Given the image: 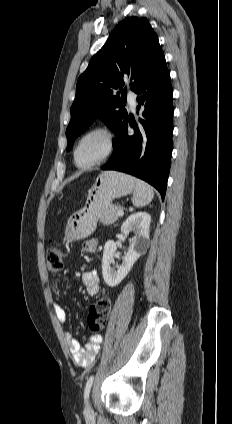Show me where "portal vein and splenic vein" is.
<instances>
[{
    "instance_id": "obj_1",
    "label": "portal vein and splenic vein",
    "mask_w": 232,
    "mask_h": 424,
    "mask_svg": "<svg viewBox=\"0 0 232 424\" xmlns=\"http://www.w3.org/2000/svg\"><path fill=\"white\" fill-rule=\"evenodd\" d=\"M117 215H118V216H123V215H124L123 210H122V209L118 210Z\"/></svg>"
}]
</instances>
